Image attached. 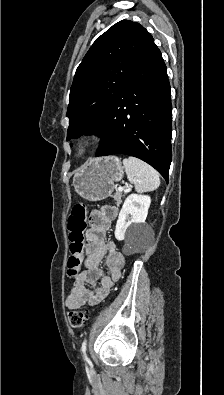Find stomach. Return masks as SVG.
I'll return each mask as SVG.
<instances>
[{"label":"stomach","instance_id":"stomach-1","mask_svg":"<svg viewBox=\"0 0 224 395\" xmlns=\"http://www.w3.org/2000/svg\"><path fill=\"white\" fill-rule=\"evenodd\" d=\"M123 169L115 156L91 159L75 173L72 185L82 198L100 201L111 195L114 183L123 178Z\"/></svg>","mask_w":224,"mask_h":395}]
</instances>
